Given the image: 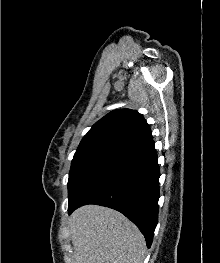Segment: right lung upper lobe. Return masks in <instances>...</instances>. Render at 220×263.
I'll return each mask as SVG.
<instances>
[{"label": "right lung upper lobe", "mask_w": 220, "mask_h": 263, "mask_svg": "<svg viewBox=\"0 0 220 263\" xmlns=\"http://www.w3.org/2000/svg\"><path fill=\"white\" fill-rule=\"evenodd\" d=\"M152 137L141 114L135 110L117 109L96 122L84 136L77 151H122Z\"/></svg>", "instance_id": "obj_1"}]
</instances>
